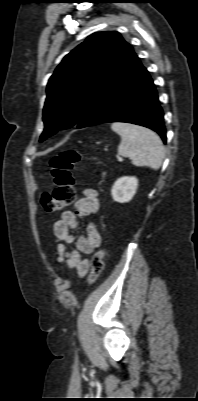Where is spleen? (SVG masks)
Instances as JSON below:
<instances>
[{"mask_svg": "<svg viewBox=\"0 0 198 401\" xmlns=\"http://www.w3.org/2000/svg\"><path fill=\"white\" fill-rule=\"evenodd\" d=\"M111 129L120 135L118 154L129 157L132 164L153 170L161 167L165 149L159 136L150 129L128 123L116 122Z\"/></svg>", "mask_w": 198, "mask_h": 401, "instance_id": "3e777b00", "label": "spleen"}]
</instances>
